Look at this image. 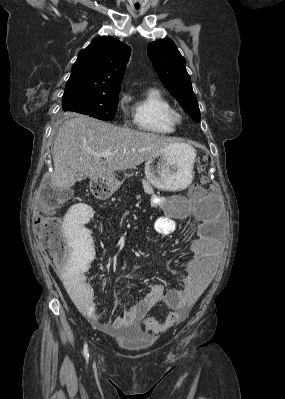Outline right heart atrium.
<instances>
[{"mask_svg": "<svg viewBox=\"0 0 285 399\" xmlns=\"http://www.w3.org/2000/svg\"><path fill=\"white\" fill-rule=\"evenodd\" d=\"M129 101H130V96L127 93L122 94L118 100V107L126 116L129 114L128 111Z\"/></svg>", "mask_w": 285, "mask_h": 399, "instance_id": "right-heart-atrium-1", "label": "right heart atrium"}]
</instances>
